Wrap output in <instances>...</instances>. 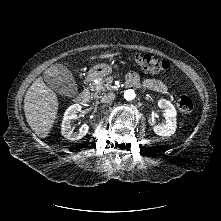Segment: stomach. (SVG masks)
<instances>
[{
  "label": "stomach",
  "mask_w": 221,
  "mask_h": 221,
  "mask_svg": "<svg viewBox=\"0 0 221 221\" xmlns=\"http://www.w3.org/2000/svg\"><path fill=\"white\" fill-rule=\"evenodd\" d=\"M112 71V68L110 66L105 67L103 65H98L94 67V69L91 71L90 75L97 77V76H102L110 73Z\"/></svg>",
  "instance_id": "stomach-1"
}]
</instances>
